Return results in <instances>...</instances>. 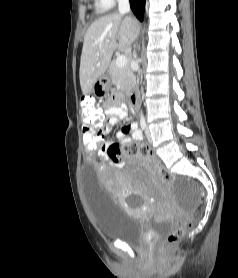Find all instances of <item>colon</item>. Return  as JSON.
<instances>
[{"instance_id": "1", "label": "colon", "mask_w": 238, "mask_h": 278, "mask_svg": "<svg viewBox=\"0 0 238 278\" xmlns=\"http://www.w3.org/2000/svg\"><path fill=\"white\" fill-rule=\"evenodd\" d=\"M80 130L84 131L82 141L84 144V159H99V153L103 152V113L96 100L86 96L81 100ZM108 156L113 164L120 163L124 156H137L151 164L158 170L163 183L176 184L172 173L165 168L153 155L148 146L131 143L126 148L114 143L108 148ZM192 226L191 215L186 211H180L177 215V223L169 231L161 244L162 249H168L179 242Z\"/></svg>"}]
</instances>
